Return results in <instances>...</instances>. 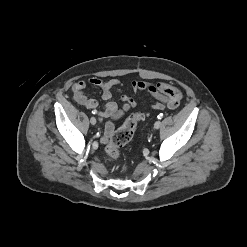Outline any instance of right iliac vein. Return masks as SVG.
<instances>
[{
    "mask_svg": "<svg viewBox=\"0 0 247 247\" xmlns=\"http://www.w3.org/2000/svg\"><path fill=\"white\" fill-rule=\"evenodd\" d=\"M90 122L92 125H95L96 124V119L94 117H91L90 118Z\"/></svg>",
    "mask_w": 247,
    "mask_h": 247,
    "instance_id": "1",
    "label": "right iliac vein"
}]
</instances>
